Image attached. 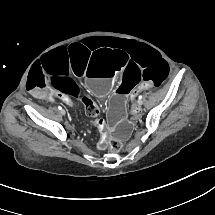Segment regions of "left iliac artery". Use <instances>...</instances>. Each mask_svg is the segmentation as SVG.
Returning a JSON list of instances; mask_svg holds the SVG:
<instances>
[{
  "label": "left iliac artery",
  "mask_w": 215,
  "mask_h": 215,
  "mask_svg": "<svg viewBox=\"0 0 215 215\" xmlns=\"http://www.w3.org/2000/svg\"><path fill=\"white\" fill-rule=\"evenodd\" d=\"M142 98H143L142 95H140L139 98H138V103H140V104L143 103Z\"/></svg>",
  "instance_id": "1"
}]
</instances>
